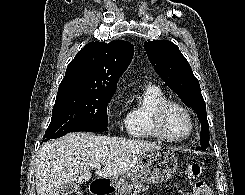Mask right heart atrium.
I'll return each instance as SVG.
<instances>
[{
    "label": "right heart atrium",
    "instance_id": "right-heart-atrium-1",
    "mask_svg": "<svg viewBox=\"0 0 245 195\" xmlns=\"http://www.w3.org/2000/svg\"><path fill=\"white\" fill-rule=\"evenodd\" d=\"M108 113L113 118L118 131H128L127 113L122 107V97L119 93L111 97L108 103Z\"/></svg>",
    "mask_w": 245,
    "mask_h": 195
}]
</instances>
